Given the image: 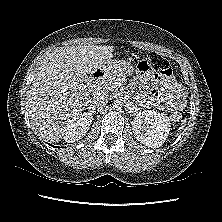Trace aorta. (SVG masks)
<instances>
[{
  "mask_svg": "<svg viewBox=\"0 0 222 222\" xmlns=\"http://www.w3.org/2000/svg\"><path fill=\"white\" fill-rule=\"evenodd\" d=\"M113 108L114 109H117V110H119V109H121L122 107H123V101L121 100V99H115L114 101H113Z\"/></svg>",
  "mask_w": 222,
  "mask_h": 222,
  "instance_id": "aorta-1",
  "label": "aorta"
}]
</instances>
